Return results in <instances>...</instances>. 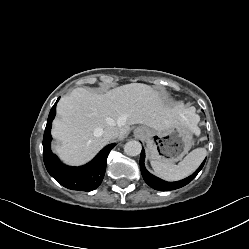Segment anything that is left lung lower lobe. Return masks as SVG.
<instances>
[{"instance_id":"left-lung-lower-lobe-1","label":"left lung lower lobe","mask_w":249,"mask_h":249,"mask_svg":"<svg viewBox=\"0 0 249 249\" xmlns=\"http://www.w3.org/2000/svg\"><path fill=\"white\" fill-rule=\"evenodd\" d=\"M144 159H145V152L144 149H142L141 152V157H140V168H141V173L142 176L145 180V182L152 188L159 190V191H170V190H175L178 188H181L185 185H187L189 182H191L196 175L199 173V171L202 169V167L204 166L205 161L200 165V167L196 170V172H194L191 176L181 180V181H177V182H166L163 181L157 177H155L154 175L150 174L144 165Z\"/></svg>"}]
</instances>
